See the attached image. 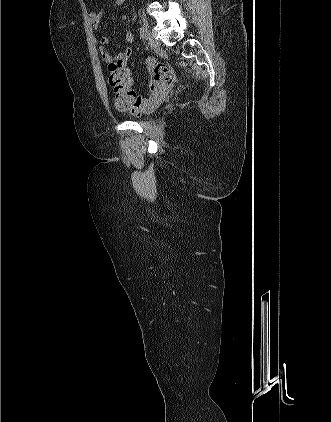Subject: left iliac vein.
I'll list each match as a JSON object with an SVG mask.
<instances>
[{
  "label": "left iliac vein",
  "mask_w": 331,
  "mask_h": 422,
  "mask_svg": "<svg viewBox=\"0 0 331 422\" xmlns=\"http://www.w3.org/2000/svg\"><path fill=\"white\" fill-rule=\"evenodd\" d=\"M147 43L153 50H158L160 48L159 41L152 35L151 32L147 33Z\"/></svg>",
  "instance_id": "4c4485c4"
}]
</instances>
